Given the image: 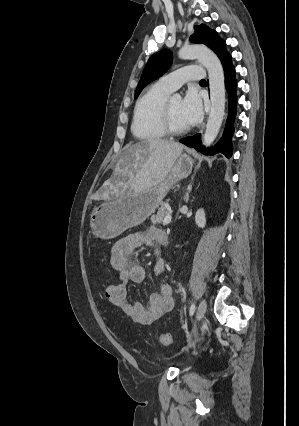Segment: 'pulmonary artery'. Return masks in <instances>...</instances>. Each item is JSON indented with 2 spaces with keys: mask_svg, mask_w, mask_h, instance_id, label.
<instances>
[{
  "mask_svg": "<svg viewBox=\"0 0 299 426\" xmlns=\"http://www.w3.org/2000/svg\"><path fill=\"white\" fill-rule=\"evenodd\" d=\"M203 72L202 67L189 65L162 76L158 82L172 92L188 81L201 80Z\"/></svg>",
  "mask_w": 299,
  "mask_h": 426,
  "instance_id": "e3ab8cb5",
  "label": "pulmonary artery"
}]
</instances>
